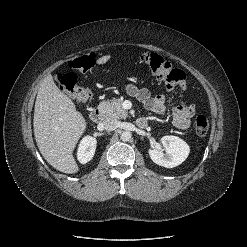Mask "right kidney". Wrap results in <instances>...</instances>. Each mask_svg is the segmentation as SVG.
Listing matches in <instances>:
<instances>
[{"mask_svg": "<svg viewBox=\"0 0 247 247\" xmlns=\"http://www.w3.org/2000/svg\"><path fill=\"white\" fill-rule=\"evenodd\" d=\"M96 144V139L91 136H85L81 140L77 151V158L80 163L85 164L93 158Z\"/></svg>", "mask_w": 247, "mask_h": 247, "instance_id": "1", "label": "right kidney"}]
</instances>
